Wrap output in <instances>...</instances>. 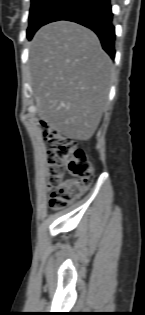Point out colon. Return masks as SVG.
<instances>
[{"label":"colon","instance_id":"obj_1","mask_svg":"<svg viewBox=\"0 0 145 315\" xmlns=\"http://www.w3.org/2000/svg\"><path fill=\"white\" fill-rule=\"evenodd\" d=\"M40 128L43 139L49 147L47 162L51 206L55 209H63L90 185L94 167L76 141L59 133L43 121L40 123ZM66 174L73 178L66 179Z\"/></svg>","mask_w":145,"mask_h":315}]
</instances>
